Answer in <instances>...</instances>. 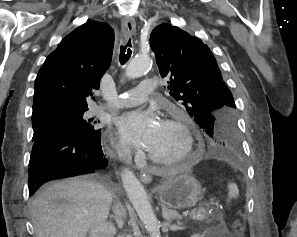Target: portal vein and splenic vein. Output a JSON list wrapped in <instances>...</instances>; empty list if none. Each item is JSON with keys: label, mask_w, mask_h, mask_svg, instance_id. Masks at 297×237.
Segmentation results:
<instances>
[{"label": "portal vein and splenic vein", "mask_w": 297, "mask_h": 237, "mask_svg": "<svg viewBox=\"0 0 297 237\" xmlns=\"http://www.w3.org/2000/svg\"><path fill=\"white\" fill-rule=\"evenodd\" d=\"M194 211H195V210H192L188 215H189V216L192 215V214L194 213Z\"/></svg>", "instance_id": "portal-vein-and-splenic-vein-1"}]
</instances>
